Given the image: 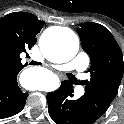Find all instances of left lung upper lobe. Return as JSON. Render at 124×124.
Masks as SVG:
<instances>
[{
    "mask_svg": "<svg viewBox=\"0 0 124 124\" xmlns=\"http://www.w3.org/2000/svg\"><path fill=\"white\" fill-rule=\"evenodd\" d=\"M78 34L84 51L90 56V81H86L81 97L93 121L103 115L118 93L124 62L121 49L113 35L104 26L82 23Z\"/></svg>",
    "mask_w": 124,
    "mask_h": 124,
    "instance_id": "1",
    "label": "left lung upper lobe"
}]
</instances>
